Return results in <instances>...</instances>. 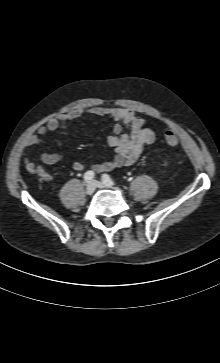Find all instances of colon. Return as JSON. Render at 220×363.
I'll use <instances>...</instances> for the list:
<instances>
[{
    "instance_id": "colon-1",
    "label": "colon",
    "mask_w": 220,
    "mask_h": 363,
    "mask_svg": "<svg viewBox=\"0 0 220 363\" xmlns=\"http://www.w3.org/2000/svg\"><path fill=\"white\" fill-rule=\"evenodd\" d=\"M164 139L167 145L174 147L178 144L179 139L175 132L168 130L164 134Z\"/></svg>"
}]
</instances>
